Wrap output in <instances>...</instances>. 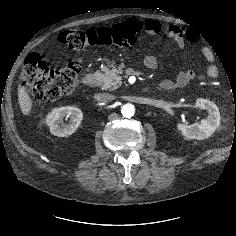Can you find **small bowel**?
<instances>
[{
  "label": "small bowel",
  "mask_w": 236,
  "mask_h": 236,
  "mask_svg": "<svg viewBox=\"0 0 236 236\" xmlns=\"http://www.w3.org/2000/svg\"><path fill=\"white\" fill-rule=\"evenodd\" d=\"M143 28L150 35H165L168 38L172 39L178 48L183 49L186 45V32L179 26L174 24L164 25L157 20H147L143 23ZM190 38H194V35H191ZM203 55L208 62L205 73L201 78H216L218 75V70L214 65V58L210 50L203 49ZM145 65L149 68H154L158 64V57L156 55H148L144 59ZM196 78V74L193 71H184L180 72L177 77L172 79L163 80L160 84V87L166 91H172L177 88H182L186 86L190 81Z\"/></svg>",
  "instance_id": "1"
}]
</instances>
